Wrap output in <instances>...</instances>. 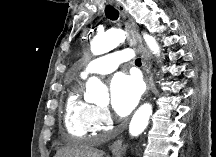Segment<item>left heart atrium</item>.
<instances>
[{
    "label": "left heart atrium",
    "instance_id": "1",
    "mask_svg": "<svg viewBox=\"0 0 216 157\" xmlns=\"http://www.w3.org/2000/svg\"><path fill=\"white\" fill-rule=\"evenodd\" d=\"M141 95L139 80L125 73L116 74L110 82V100L120 116L128 115L137 105Z\"/></svg>",
    "mask_w": 216,
    "mask_h": 157
}]
</instances>
